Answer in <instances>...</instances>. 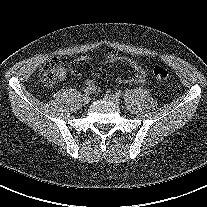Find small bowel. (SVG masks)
<instances>
[{
  "instance_id": "1",
  "label": "small bowel",
  "mask_w": 207,
  "mask_h": 207,
  "mask_svg": "<svg viewBox=\"0 0 207 207\" xmlns=\"http://www.w3.org/2000/svg\"><path fill=\"white\" fill-rule=\"evenodd\" d=\"M89 59L90 58L88 56H83V57H80V58L73 60L72 63L75 64V63H79L82 61H87ZM104 61H105V63H114L117 61H123L134 70V75L130 78L118 77L116 80L118 83L140 84V83H144L147 79V71L144 68V66L140 62H138L130 57H120L114 53H107L105 55ZM71 74L74 76H79L80 71H78L77 69H72ZM64 78H65V71L62 72L59 79L62 80ZM85 83H86L87 88H90L92 92L99 91V87L97 86V84L93 80L88 79V80H86Z\"/></svg>"
}]
</instances>
